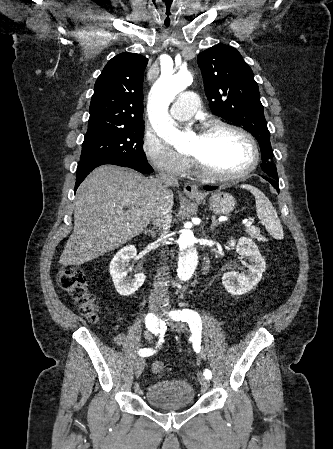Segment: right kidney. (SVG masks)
<instances>
[{
	"mask_svg": "<svg viewBox=\"0 0 333 449\" xmlns=\"http://www.w3.org/2000/svg\"><path fill=\"white\" fill-rule=\"evenodd\" d=\"M136 248L132 245L119 250L110 262V274L116 291L122 296L134 294L144 283L145 275L139 273L134 278L127 277L126 268L130 259L136 256Z\"/></svg>",
	"mask_w": 333,
	"mask_h": 449,
	"instance_id": "obj_1",
	"label": "right kidney"
}]
</instances>
